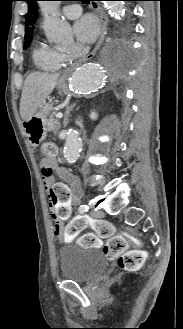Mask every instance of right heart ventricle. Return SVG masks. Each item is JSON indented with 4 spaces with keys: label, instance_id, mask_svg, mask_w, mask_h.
Wrapping results in <instances>:
<instances>
[{
    "label": "right heart ventricle",
    "instance_id": "e07e8e85",
    "mask_svg": "<svg viewBox=\"0 0 183 329\" xmlns=\"http://www.w3.org/2000/svg\"><path fill=\"white\" fill-rule=\"evenodd\" d=\"M68 57L54 47L41 43L33 51L34 65L43 71H55L63 66Z\"/></svg>",
    "mask_w": 183,
    "mask_h": 329
}]
</instances>
